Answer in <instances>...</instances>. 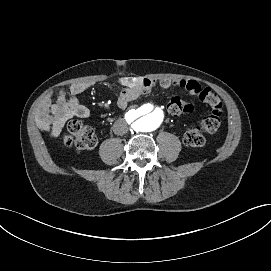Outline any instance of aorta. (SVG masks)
<instances>
[{
	"mask_svg": "<svg viewBox=\"0 0 271 271\" xmlns=\"http://www.w3.org/2000/svg\"><path fill=\"white\" fill-rule=\"evenodd\" d=\"M137 115L144 116L143 123L144 131H153L157 129L164 118L163 111L161 109H154L152 104H145L138 109Z\"/></svg>",
	"mask_w": 271,
	"mask_h": 271,
	"instance_id": "1",
	"label": "aorta"
}]
</instances>
